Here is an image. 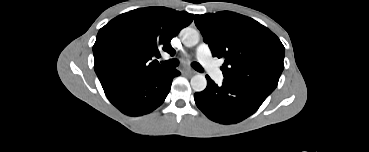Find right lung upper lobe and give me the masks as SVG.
I'll list each match as a JSON object with an SVG mask.
<instances>
[{
    "label": "right lung upper lobe",
    "mask_w": 369,
    "mask_h": 152,
    "mask_svg": "<svg viewBox=\"0 0 369 152\" xmlns=\"http://www.w3.org/2000/svg\"><path fill=\"white\" fill-rule=\"evenodd\" d=\"M194 15L165 7L123 13L102 27L93 46L94 69L105 92L139 76L165 70L154 57L171 55L170 41Z\"/></svg>",
    "instance_id": "cb5924a9"
}]
</instances>
